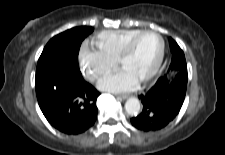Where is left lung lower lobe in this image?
<instances>
[{
    "label": "left lung lower lobe",
    "mask_w": 225,
    "mask_h": 155,
    "mask_svg": "<svg viewBox=\"0 0 225 155\" xmlns=\"http://www.w3.org/2000/svg\"><path fill=\"white\" fill-rule=\"evenodd\" d=\"M186 88L187 84L177 79H158L148 92L139 96L143 111L131 119L132 125L143 131H157L164 128L179 113Z\"/></svg>",
    "instance_id": "obj_1"
}]
</instances>
